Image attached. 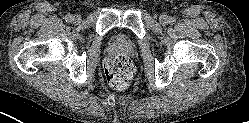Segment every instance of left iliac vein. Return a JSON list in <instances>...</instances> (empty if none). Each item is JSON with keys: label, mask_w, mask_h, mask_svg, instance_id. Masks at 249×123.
Masks as SVG:
<instances>
[{"label": "left iliac vein", "mask_w": 249, "mask_h": 123, "mask_svg": "<svg viewBox=\"0 0 249 123\" xmlns=\"http://www.w3.org/2000/svg\"><path fill=\"white\" fill-rule=\"evenodd\" d=\"M159 22L162 24V25H166L168 22H169V17L165 14L161 15L159 17Z\"/></svg>", "instance_id": "left-iliac-vein-1"}]
</instances>
